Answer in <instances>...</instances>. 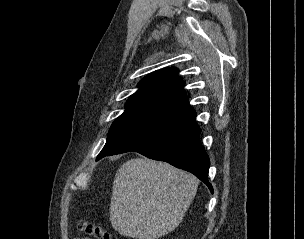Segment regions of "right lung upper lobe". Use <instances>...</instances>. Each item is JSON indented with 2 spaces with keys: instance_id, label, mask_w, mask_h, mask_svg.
<instances>
[{
  "instance_id": "obj_1",
  "label": "right lung upper lobe",
  "mask_w": 304,
  "mask_h": 239,
  "mask_svg": "<svg viewBox=\"0 0 304 239\" xmlns=\"http://www.w3.org/2000/svg\"><path fill=\"white\" fill-rule=\"evenodd\" d=\"M184 84L178 69L157 70L139 82V90L126 102L125 112L148 113L169 121L193 113L195 110L189 105Z\"/></svg>"
}]
</instances>
